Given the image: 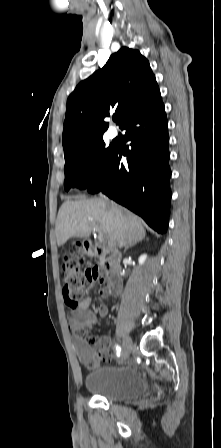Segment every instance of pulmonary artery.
Wrapping results in <instances>:
<instances>
[{"label":"pulmonary artery","mask_w":221,"mask_h":448,"mask_svg":"<svg viewBox=\"0 0 221 448\" xmlns=\"http://www.w3.org/2000/svg\"><path fill=\"white\" fill-rule=\"evenodd\" d=\"M108 136H109L111 139H114V138L117 136V131H116V129L113 128V127H111V128L108 130Z\"/></svg>","instance_id":"1"}]
</instances>
